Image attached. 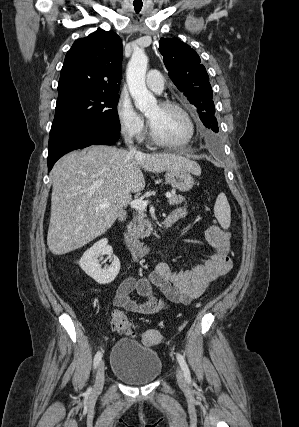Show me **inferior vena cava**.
I'll return each mask as SVG.
<instances>
[{"instance_id": "1", "label": "inferior vena cava", "mask_w": 299, "mask_h": 427, "mask_svg": "<svg viewBox=\"0 0 299 427\" xmlns=\"http://www.w3.org/2000/svg\"><path fill=\"white\" fill-rule=\"evenodd\" d=\"M126 143L129 145V148H130V152L131 153H137L136 152V148H134L131 144H132V141L131 140H128V141H126Z\"/></svg>"}]
</instances>
